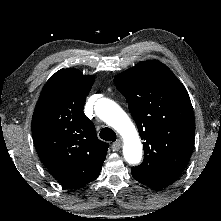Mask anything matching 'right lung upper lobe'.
<instances>
[{
	"label": "right lung upper lobe",
	"instance_id": "obj_1",
	"mask_svg": "<svg viewBox=\"0 0 221 221\" xmlns=\"http://www.w3.org/2000/svg\"><path fill=\"white\" fill-rule=\"evenodd\" d=\"M94 81V76L75 68L61 69L44 85L34 110L36 151L49 173L66 187L95 180L107 155L109 144L97 138L83 112Z\"/></svg>",
	"mask_w": 221,
	"mask_h": 221
}]
</instances>
